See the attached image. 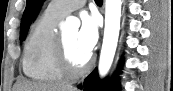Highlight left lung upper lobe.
Segmentation results:
<instances>
[{
	"instance_id": "obj_1",
	"label": "left lung upper lobe",
	"mask_w": 173,
	"mask_h": 91,
	"mask_svg": "<svg viewBox=\"0 0 173 91\" xmlns=\"http://www.w3.org/2000/svg\"><path fill=\"white\" fill-rule=\"evenodd\" d=\"M43 0H27L26 8L23 13L21 28H20V40L24 41L31 23V20L35 14L36 9L40 6Z\"/></svg>"
}]
</instances>
